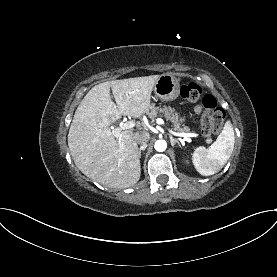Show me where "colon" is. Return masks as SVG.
<instances>
[{
	"label": "colon",
	"instance_id": "colon-1",
	"mask_svg": "<svg viewBox=\"0 0 277 277\" xmlns=\"http://www.w3.org/2000/svg\"><path fill=\"white\" fill-rule=\"evenodd\" d=\"M181 96L188 102L201 101L204 113L201 117V132L205 140H212L219 133L225 119L224 110L217 105L216 99L210 95H203L201 87L194 82L181 87Z\"/></svg>",
	"mask_w": 277,
	"mask_h": 277
}]
</instances>
